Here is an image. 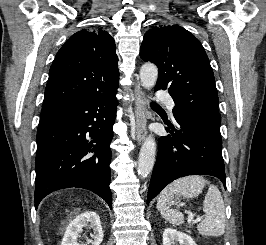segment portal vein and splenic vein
<instances>
[{
  "mask_svg": "<svg viewBox=\"0 0 266 245\" xmlns=\"http://www.w3.org/2000/svg\"><path fill=\"white\" fill-rule=\"evenodd\" d=\"M202 217H197V219H195V221H193V213H189V217H188V223H191V221H193V223H199V221H201Z\"/></svg>",
  "mask_w": 266,
  "mask_h": 245,
  "instance_id": "1",
  "label": "portal vein and splenic vein"
}]
</instances>
